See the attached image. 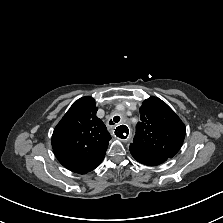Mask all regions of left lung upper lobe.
I'll return each mask as SVG.
<instances>
[{
	"instance_id": "1",
	"label": "left lung upper lobe",
	"mask_w": 223,
	"mask_h": 223,
	"mask_svg": "<svg viewBox=\"0 0 223 223\" xmlns=\"http://www.w3.org/2000/svg\"><path fill=\"white\" fill-rule=\"evenodd\" d=\"M141 122L130 146L172 158L185 138V125L176 113L157 97L146 99L139 109Z\"/></svg>"
}]
</instances>
